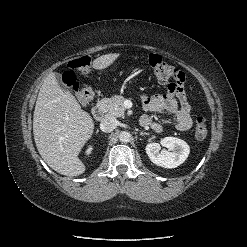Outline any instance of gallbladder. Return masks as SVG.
<instances>
[{
	"label": "gallbladder",
	"mask_w": 247,
	"mask_h": 247,
	"mask_svg": "<svg viewBox=\"0 0 247 247\" xmlns=\"http://www.w3.org/2000/svg\"><path fill=\"white\" fill-rule=\"evenodd\" d=\"M55 76H56V78L59 81V85H60L61 89H63L66 92H70L69 91V88L67 87V85H65L64 83L60 82V80H61V74L60 73H56Z\"/></svg>",
	"instance_id": "bac80fb5"
}]
</instances>
